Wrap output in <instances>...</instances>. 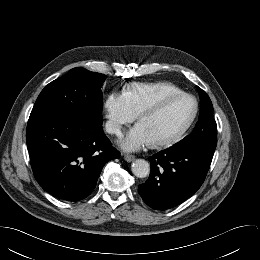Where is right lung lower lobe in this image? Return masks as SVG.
<instances>
[{"label": "right lung lower lobe", "instance_id": "obj_1", "mask_svg": "<svg viewBox=\"0 0 260 260\" xmlns=\"http://www.w3.org/2000/svg\"><path fill=\"white\" fill-rule=\"evenodd\" d=\"M26 142L37 182L56 198L71 202L87 198L103 166L120 157L102 123L72 114L30 115Z\"/></svg>", "mask_w": 260, "mask_h": 260}]
</instances>
